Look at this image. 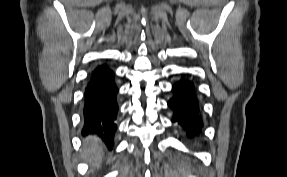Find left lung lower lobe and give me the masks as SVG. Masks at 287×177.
I'll use <instances>...</instances> for the list:
<instances>
[{"mask_svg":"<svg viewBox=\"0 0 287 177\" xmlns=\"http://www.w3.org/2000/svg\"><path fill=\"white\" fill-rule=\"evenodd\" d=\"M172 90L174 96L168 101L174 111L172 122H177L190 137L199 135L203 123L193 83L183 78L173 85Z\"/></svg>","mask_w":287,"mask_h":177,"instance_id":"obj_1","label":"left lung lower lobe"}]
</instances>
